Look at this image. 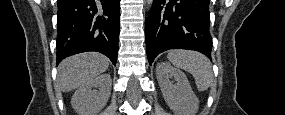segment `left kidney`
I'll list each match as a JSON object with an SVG mask.
<instances>
[{"label":"left kidney","instance_id":"obj_1","mask_svg":"<svg viewBox=\"0 0 285 115\" xmlns=\"http://www.w3.org/2000/svg\"><path fill=\"white\" fill-rule=\"evenodd\" d=\"M156 76L164 100L174 112L182 115L197 112L199 100L192 91L184 72L174 68L167 62H159L156 66ZM172 77L176 81L175 84L170 81Z\"/></svg>","mask_w":285,"mask_h":115}]
</instances>
